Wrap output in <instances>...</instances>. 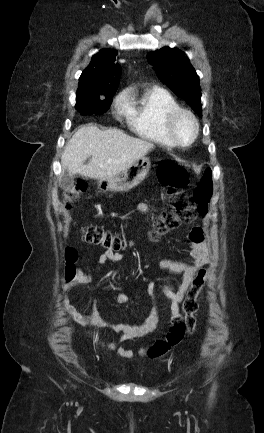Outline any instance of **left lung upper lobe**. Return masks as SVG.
<instances>
[{
    "mask_svg": "<svg viewBox=\"0 0 264 433\" xmlns=\"http://www.w3.org/2000/svg\"><path fill=\"white\" fill-rule=\"evenodd\" d=\"M147 58L159 79L202 116L199 77L185 53L164 47Z\"/></svg>",
    "mask_w": 264,
    "mask_h": 433,
    "instance_id": "5c2ea615",
    "label": "left lung upper lobe"
}]
</instances>
